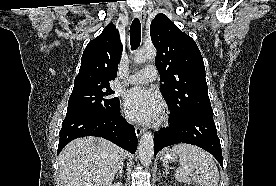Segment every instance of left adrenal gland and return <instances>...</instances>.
<instances>
[{
	"instance_id": "a2214340",
	"label": "left adrenal gland",
	"mask_w": 276,
	"mask_h": 186,
	"mask_svg": "<svg viewBox=\"0 0 276 186\" xmlns=\"http://www.w3.org/2000/svg\"><path fill=\"white\" fill-rule=\"evenodd\" d=\"M164 176L165 177V173L163 172V175H161V172L159 173V179Z\"/></svg>"
}]
</instances>
